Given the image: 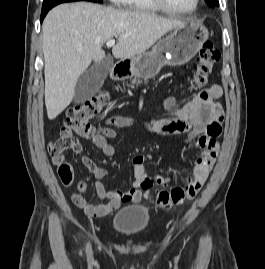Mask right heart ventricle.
<instances>
[{
	"instance_id": "1",
	"label": "right heart ventricle",
	"mask_w": 265,
	"mask_h": 269,
	"mask_svg": "<svg viewBox=\"0 0 265 269\" xmlns=\"http://www.w3.org/2000/svg\"><path fill=\"white\" fill-rule=\"evenodd\" d=\"M122 4L128 8L146 12H156L160 8L152 0H123Z\"/></svg>"
}]
</instances>
